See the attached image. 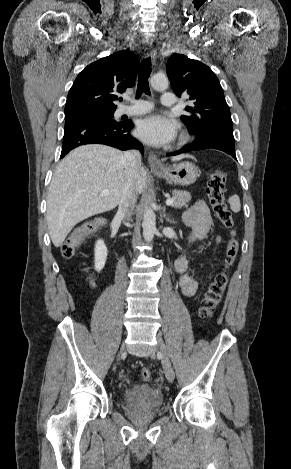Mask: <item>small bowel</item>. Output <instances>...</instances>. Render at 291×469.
Listing matches in <instances>:
<instances>
[{
    "instance_id": "small-bowel-1",
    "label": "small bowel",
    "mask_w": 291,
    "mask_h": 469,
    "mask_svg": "<svg viewBox=\"0 0 291 469\" xmlns=\"http://www.w3.org/2000/svg\"><path fill=\"white\" fill-rule=\"evenodd\" d=\"M184 223L190 228L187 245L203 238L209 231L211 224L210 212L204 201L194 203L183 215ZM221 238H217L219 245ZM176 271L179 274V286L187 297H193L198 292L200 282L186 273L187 261L185 254H181L175 262Z\"/></svg>"
}]
</instances>
